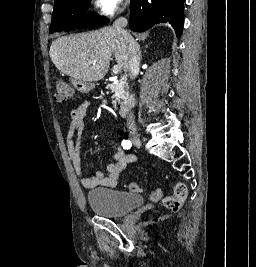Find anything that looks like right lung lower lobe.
<instances>
[{
	"label": "right lung lower lobe",
	"mask_w": 256,
	"mask_h": 267,
	"mask_svg": "<svg viewBox=\"0 0 256 267\" xmlns=\"http://www.w3.org/2000/svg\"><path fill=\"white\" fill-rule=\"evenodd\" d=\"M185 0H131L130 29L143 32L158 23H170L176 36L183 31Z\"/></svg>",
	"instance_id": "98d812e1"
}]
</instances>
